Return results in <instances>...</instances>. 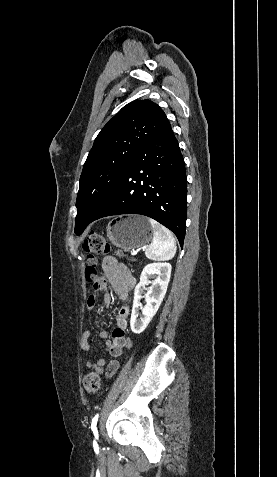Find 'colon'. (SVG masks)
<instances>
[{"instance_id": "5ec220e1", "label": "colon", "mask_w": 277, "mask_h": 477, "mask_svg": "<svg viewBox=\"0 0 277 477\" xmlns=\"http://www.w3.org/2000/svg\"><path fill=\"white\" fill-rule=\"evenodd\" d=\"M82 248L87 254V267L85 270V276L88 282H90L95 289L99 287V277L97 275V263L101 256L110 252V245L106 239L95 232H90L82 243ZM118 255H122L121 252H117ZM84 388L88 394H95L100 389V377L97 372H90L84 377Z\"/></svg>"}]
</instances>
